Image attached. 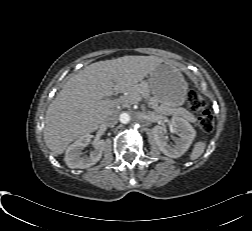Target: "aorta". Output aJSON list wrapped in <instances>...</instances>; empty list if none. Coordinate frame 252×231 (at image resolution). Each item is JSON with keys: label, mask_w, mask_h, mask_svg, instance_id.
Returning <instances> with one entry per match:
<instances>
[{"label": "aorta", "mask_w": 252, "mask_h": 231, "mask_svg": "<svg viewBox=\"0 0 252 231\" xmlns=\"http://www.w3.org/2000/svg\"><path fill=\"white\" fill-rule=\"evenodd\" d=\"M119 119L121 123L127 124L130 121V115L128 113H121Z\"/></svg>", "instance_id": "1"}]
</instances>
